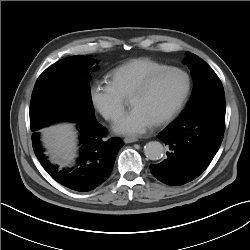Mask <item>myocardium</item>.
<instances>
[{"label": "myocardium", "instance_id": "1", "mask_svg": "<svg viewBox=\"0 0 250 250\" xmlns=\"http://www.w3.org/2000/svg\"><path fill=\"white\" fill-rule=\"evenodd\" d=\"M169 72H177L180 73L184 76L185 78V89L184 92L181 96V98L179 99V101L177 102V104L171 109V111H169L164 117H162L160 120H158L157 122H155L156 126H163L168 124L169 122H171L183 109V107L185 106L190 92H191V77L189 75V73L184 70L183 68L180 67H176V66H166L164 68H161L159 70H156L154 72H152L151 74H149L138 86L137 88L133 91L131 98L136 96V95H141L146 93L151 86L153 85V83L163 74L165 73H169Z\"/></svg>", "mask_w": 250, "mask_h": 250}]
</instances>
